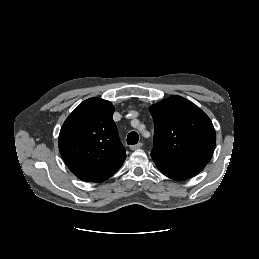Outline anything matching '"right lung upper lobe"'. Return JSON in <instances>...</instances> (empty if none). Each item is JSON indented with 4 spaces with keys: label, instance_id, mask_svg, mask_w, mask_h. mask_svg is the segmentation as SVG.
<instances>
[{
    "label": "right lung upper lobe",
    "instance_id": "right-lung-upper-lobe-1",
    "mask_svg": "<svg viewBox=\"0 0 259 259\" xmlns=\"http://www.w3.org/2000/svg\"><path fill=\"white\" fill-rule=\"evenodd\" d=\"M113 113L111 102L90 98L77 106L60 130V154L81 180L102 182L117 172L126 158Z\"/></svg>",
    "mask_w": 259,
    "mask_h": 259
}]
</instances>
